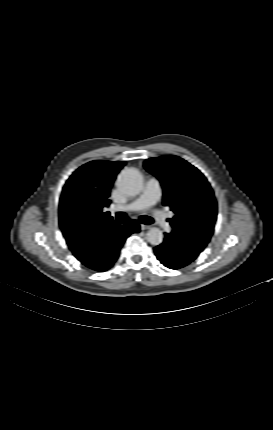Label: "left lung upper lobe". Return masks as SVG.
<instances>
[{"mask_svg":"<svg viewBox=\"0 0 273 430\" xmlns=\"http://www.w3.org/2000/svg\"><path fill=\"white\" fill-rule=\"evenodd\" d=\"M144 166L161 182L163 204L175 214L168 221L177 243L201 253L217 218V203L207 179L196 167L173 155L150 158Z\"/></svg>","mask_w":273,"mask_h":430,"instance_id":"5c2ea615","label":"left lung upper lobe"}]
</instances>
